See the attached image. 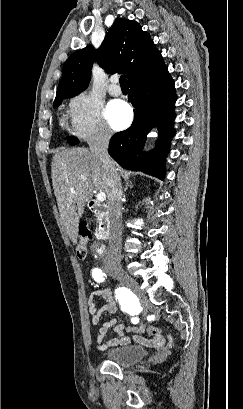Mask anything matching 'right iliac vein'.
Returning <instances> with one entry per match:
<instances>
[{"label":"right iliac vein","mask_w":243,"mask_h":409,"mask_svg":"<svg viewBox=\"0 0 243 409\" xmlns=\"http://www.w3.org/2000/svg\"><path fill=\"white\" fill-rule=\"evenodd\" d=\"M113 277H115L117 280H119L121 283L129 287L133 292H135L139 297H142L140 288L138 283L127 273L124 271H116L113 274Z\"/></svg>","instance_id":"right-iliac-vein-1"}]
</instances>
